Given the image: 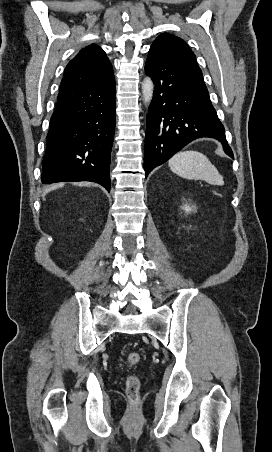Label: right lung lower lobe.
<instances>
[{"instance_id": "1", "label": "right lung lower lobe", "mask_w": 272, "mask_h": 452, "mask_svg": "<svg viewBox=\"0 0 272 452\" xmlns=\"http://www.w3.org/2000/svg\"><path fill=\"white\" fill-rule=\"evenodd\" d=\"M115 78L59 99L50 120L41 181H92L110 191Z\"/></svg>"}]
</instances>
